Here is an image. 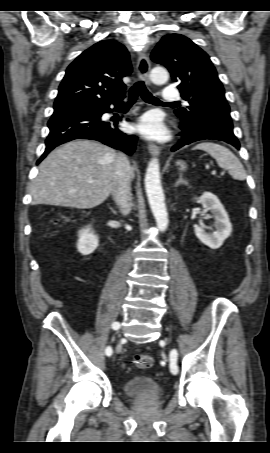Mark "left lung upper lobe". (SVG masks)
I'll use <instances>...</instances> for the list:
<instances>
[{
  "label": "left lung upper lobe",
  "mask_w": 270,
  "mask_h": 453,
  "mask_svg": "<svg viewBox=\"0 0 270 453\" xmlns=\"http://www.w3.org/2000/svg\"><path fill=\"white\" fill-rule=\"evenodd\" d=\"M151 59L168 68L189 106L175 110L181 122L202 120L210 127L233 134L224 88L209 56L187 37L164 36Z\"/></svg>",
  "instance_id": "obj_1"
}]
</instances>
